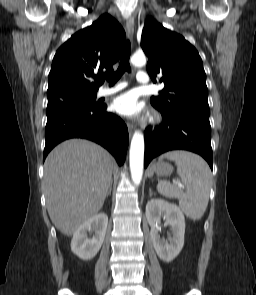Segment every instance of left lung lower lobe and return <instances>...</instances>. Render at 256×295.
<instances>
[{
	"mask_svg": "<svg viewBox=\"0 0 256 295\" xmlns=\"http://www.w3.org/2000/svg\"><path fill=\"white\" fill-rule=\"evenodd\" d=\"M144 167L156 156L171 150H188L201 155L212 169L211 126L209 115L183 110L162 115V123L146 129Z\"/></svg>",
	"mask_w": 256,
	"mask_h": 295,
	"instance_id": "obj_1",
	"label": "left lung lower lobe"
}]
</instances>
